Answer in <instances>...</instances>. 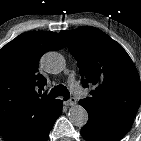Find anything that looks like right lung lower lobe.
Wrapping results in <instances>:
<instances>
[{
  "label": "right lung lower lobe",
  "mask_w": 141,
  "mask_h": 141,
  "mask_svg": "<svg viewBox=\"0 0 141 141\" xmlns=\"http://www.w3.org/2000/svg\"><path fill=\"white\" fill-rule=\"evenodd\" d=\"M63 103L56 100L50 107L29 114L2 133L5 141H47L49 132L62 111Z\"/></svg>",
  "instance_id": "1"
}]
</instances>
